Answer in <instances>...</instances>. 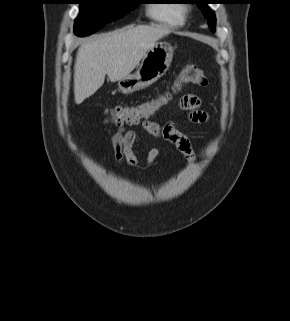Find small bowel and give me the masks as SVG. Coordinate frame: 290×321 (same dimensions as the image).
Returning <instances> with one entry per match:
<instances>
[{
  "label": "small bowel",
  "mask_w": 290,
  "mask_h": 321,
  "mask_svg": "<svg viewBox=\"0 0 290 321\" xmlns=\"http://www.w3.org/2000/svg\"><path fill=\"white\" fill-rule=\"evenodd\" d=\"M178 107L186 112L189 121L196 124H205L209 120L208 113L202 109L201 100L195 95H184L178 102ZM143 129L150 135L159 137L172 144L186 159L190 160L194 156V150L190 138L179 131L172 122L163 125L146 120L142 123ZM137 134L134 130H124L119 127L111 137L114 150V157L117 161H125L130 166L138 163L134 152V144ZM160 154V150L155 148L148 154V163H152Z\"/></svg>",
  "instance_id": "c3829d8e"
}]
</instances>
